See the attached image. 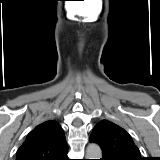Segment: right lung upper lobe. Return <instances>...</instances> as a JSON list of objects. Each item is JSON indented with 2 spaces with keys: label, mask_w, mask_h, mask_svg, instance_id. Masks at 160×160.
Wrapping results in <instances>:
<instances>
[{
  "label": "right lung upper lobe",
  "mask_w": 160,
  "mask_h": 160,
  "mask_svg": "<svg viewBox=\"0 0 160 160\" xmlns=\"http://www.w3.org/2000/svg\"><path fill=\"white\" fill-rule=\"evenodd\" d=\"M67 153L63 129L56 121H46L27 135L16 160H62Z\"/></svg>",
  "instance_id": "obj_1"
}]
</instances>
